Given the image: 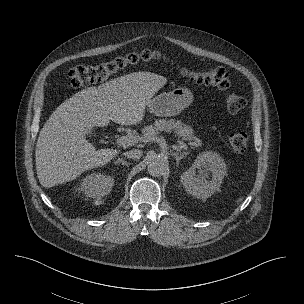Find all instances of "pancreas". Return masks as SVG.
Here are the masks:
<instances>
[{
  "instance_id": "obj_1",
  "label": "pancreas",
  "mask_w": 304,
  "mask_h": 304,
  "mask_svg": "<svg viewBox=\"0 0 304 304\" xmlns=\"http://www.w3.org/2000/svg\"><path fill=\"white\" fill-rule=\"evenodd\" d=\"M162 131H173L177 136L181 137L182 140L188 141L189 145H191L193 148L202 146V141L198 137L194 136V130L189 125L175 119L156 120L153 125L143 128L142 138L148 139L149 137L155 136Z\"/></svg>"
}]
</instances>
